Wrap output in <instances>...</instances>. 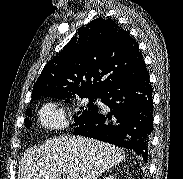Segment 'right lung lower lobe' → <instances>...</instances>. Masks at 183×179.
<instances>
[{
    "instance_id": "1",
    "label": "right lung lower lobe",
    "mask_w": 183,
    "mask_h": 179,
    "mask_svg": "<svg viewBox=\"0 0 183 179\" xmlns=\"http://www.w3.org/2000/svg\"><path fill=\"white\" fill-rule=\"evenodd\" d=\"M98 97L111 112L97 111L74 134L131 149L146 162L153 127V101L145 63L135 73L107 86Z\"/></svg>"
}]
</instances>
